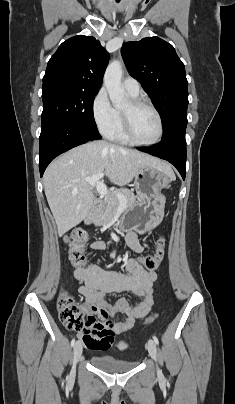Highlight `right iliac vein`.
Returning a JSON list of instances; mask_svg holds the SVG:
<instances>
[{
  "label": "right iliac vein",
  "instance_id": "63e3f726",
  "mask_svg": "<svg viewBox=\"0 0 235 404\" xmlns=\"http://www.w3.org/2000/svg\"><path fill=\"white\" fill-rule=\"evenodd\" d=\"M82 343L80 341H77L75 346H74V359H73V367H72V372L71 375H74L75 369H76V364L79 361L81 354H82Z\"/></svg>",
  "mask_w": 235,
  "mask_h": 404
}]
</instances>
